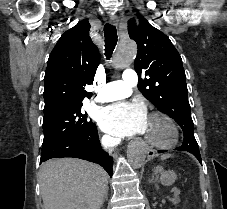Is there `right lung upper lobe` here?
<instances>
[{
	"mask_svg": "<svg viewBox=\"0 0 227 209\" xmlns=\"http://www.w3.org/2000/svg\"><path fill=\"white\" fill-rule=\"evenodd\" d=\"M90 24L84 19L62 34L52 50L44 77V101L53 98L83 100L92 93L84 90L92 84L100 56L89 36Z\"/></svg>",
	"mask_w": 227,
	"mask_h": 209,
	"instance_id": "1",
	"label": "right lung upper lobe"
}]
</instances>
